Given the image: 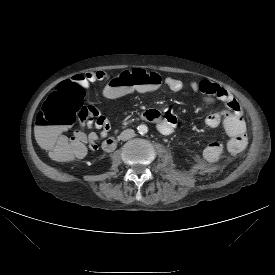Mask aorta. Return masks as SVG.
<instances>
[{
  "instance_id": "obj_1",
  "label": "aorta",
  "mask_w": 275,
  "mask_h": 275,
  "mask_svg": "<svg viewBox=\"0 0 275 275\" xmlns=\"http://www.w3.org/2000/svg\"><path fill=\"white\" fill-rule=\"evenodd\" d=\"M137 130L140 134H146L148 132V127L144 124H141L137 127Z\"/></svg>"
}]
</instances>
